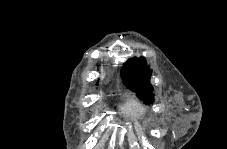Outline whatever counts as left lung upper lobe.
Returning <instances> with one entry per match:
<instances>
[{"label": "left lung upper lobe", "mask_w": 227, "mask_h": 149, "mask_svg": "<svg viewBox=\"0 0 227 149\" xmlns=\"http://www.w3.org/2000/svg\"><path fill=\"white\" fill-rule=\"evenodd\" d=\"M121 77L127 88L135 91L145 103L153 101V87L150 84L151 70L144 57L129 59L121 70Z\"/></svg>", "instance_id": "1"}]
</instances>
